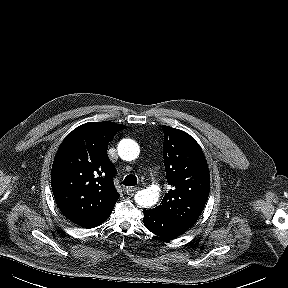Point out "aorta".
Returning a JSON list of instances; mask_svg holds the SVG:
<instances>
[{"label": "aorta", "instance_id": "obj_1", "mask_svg": "<svg viewBox=\"0 0 288 288\" xmlns=\"http://www.w3.org/2000/svg\"><path fill=\"white\" fill-rule=\"evenodd\" d=\"M140 149L138 144L132 139H123L118 145L119 156L126 161H132L139 156ZM159 198V188L151 186L147 189L138 191L135 194V202L144 208L155 205Z\"/></svg>", "mask_w": 288, "mask_h": 288}]
</instances>
